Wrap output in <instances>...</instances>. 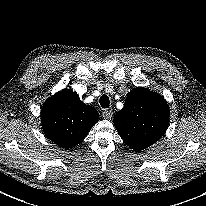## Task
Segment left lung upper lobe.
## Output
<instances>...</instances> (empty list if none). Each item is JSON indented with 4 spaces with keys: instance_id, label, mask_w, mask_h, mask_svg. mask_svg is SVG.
Segmentation results:
<instances>
[{
    "instance_id": "left-lung-upper-lobe-1",
    "label": "left lung upper lobe",
    "mask_w": 206,
    "mask_h": 206,
    "mask_svg": "<svg viewBox=\"0 0 206 206\" xmlns=\"http://www.w3.org/2000/svg\"><path fill=\"white\" fill-rule=\"evenodd\" d=\"M169 115V107L162 96L140 87L127 95L125 106L114 117V125L123 141L140 152L164 135Z\"/></svg>"
}]
</instances>
